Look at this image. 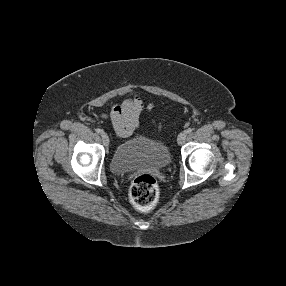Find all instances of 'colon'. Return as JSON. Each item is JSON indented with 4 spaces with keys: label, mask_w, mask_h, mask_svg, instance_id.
Returning <instances> with one entry per match:
<instances>
[{
    "label": "colon",
    "mask_w": 286,
    "mask_h": 286,
    "mask_svg": "<svg viewBox=\"0 0 286 286\" xmlns=\"http://www.w3.org/2000/svg\"><path fill=\"white\" fill-rule=\"evenodd\" d=\"M133 205L142 211L152 209L159 198V186L155 178L148 174L137 176L129 191Z\"/></svg>",
    "instance_id": "obj_1"
}]
</instances>
